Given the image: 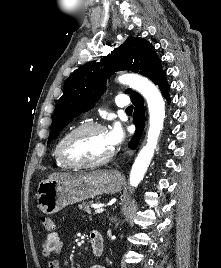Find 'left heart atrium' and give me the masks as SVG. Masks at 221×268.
Returning <instances> with one entry per match:
<instances>
[{
	"label": "left heart atrium",
	"mask_w": 221,
	"mask_h": 268,
	"mask_svg": "<svg viewBox=\"0 0 221 268\" xmlns=\"http://www.w3.org/2000/svg\"><path fill=\"white\" fill-rule=\"evenodd\" d=\"M106 133L112 149L121 144L124 139V132L118 123H114Z\"/></svg>",
	"instance_id": "obj_1"
}]
</instances>
